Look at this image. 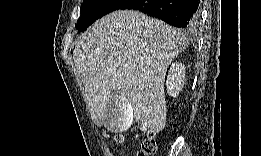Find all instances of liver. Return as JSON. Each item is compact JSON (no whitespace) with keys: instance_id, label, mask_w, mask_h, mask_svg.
<instances>
[{"instance_id":"liver-1","label":"liver","mask_w":261,"mask_h":156,"mask_svg":"<svg viewBox=\"0 0 261 156\" xmlns=\"http://www.w3.org/2000/svg\"><path fill=\"white\" fill-rule=\"evenodd\" d=\"M189 44L182 30L133 10H118L79 36L73 50L86 103L97 126L115 102L122 117L114 132L133 120L151 132L166 125L165 76L171 61Z\"/></svg>"}]
</instances>
